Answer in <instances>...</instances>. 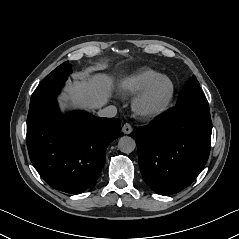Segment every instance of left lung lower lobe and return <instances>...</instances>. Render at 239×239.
<instances>
[{
  "label": "left lung lower lobe",
  "mask_w": 239,
  "mask_h": 239,
  "mask_svg": "<svg viewBox=\"0 0 239 239\" xmlns=\"http://www.w3.org/2000/svg\"><path fill=\"white\" fill-rule=\"evenodd\" d=\"M212 122L208 102L187 101L141 127L136 134L138 162L156 193L175 194L190 185L205 166Z\"/></svg>",
  "instance_id": "0a47b994"
}]
</instances>
